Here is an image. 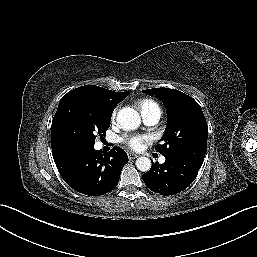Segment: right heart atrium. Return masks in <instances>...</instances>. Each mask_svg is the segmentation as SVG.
Masks as SVG:
<instances>
[{"mask_svg": "<svg viewBox=\"0 0 257 257\" xmlns=\"http://www.w3.org/2000/svg\"><path fill=\"white\" fill-rule=\"evenodd\" d=\"M117 112H118L117 109H115V110L112 112V114H111V120H112V121L115 120V118H116V116H117Z\"/></svg>", "mask_w": 257, "mask_h": 257, "instance_id": "d8ad5b80", "label": "right heart atrium"}]
</instances>
